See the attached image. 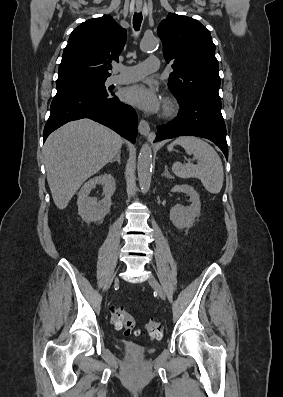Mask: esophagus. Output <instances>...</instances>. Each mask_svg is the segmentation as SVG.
Segmentation results:
<instances>
[{"instance_id": "esophagus-1", "label": "esophagus", "mask_w": 283, "mask_h": 397, "mask_svg": "<svg viewBox=\"0 0 283 397\" xmlns=\"http://www.w3.org/2000/svg\"><path fill=\"white\" fill-rule=\"evenodd\" d=\"M142 10V5L139 4L136 6V11L140 12ZM138 130L140 134L143 136H146L149 140H153L155 138V134L151 132L150 126L147 121L145 120H140L139 125H138Z\"/></svg>"}]
</instances>
